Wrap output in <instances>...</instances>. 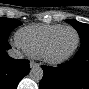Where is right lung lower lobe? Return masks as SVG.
Returning <instances> with one entry per match:
<instances>
[{"mask_svg":"<svg viewBox=\"0 0 89 89\" xmlns=\"http://www.w3.org/2000/svg\"><path fill=\"white\" fill-rule=\"evenodd\" d=\"M10 48L8 40L0 41V89H16L30 71L28 60H16L7 54L6 50Z\"/></svg>","mask_w":89,"mask_h":89,"instance_id":"obj_1","label":"right lung lower lobe"}]
</instances>
